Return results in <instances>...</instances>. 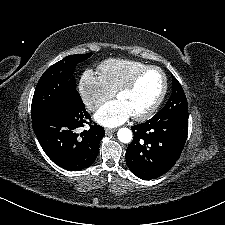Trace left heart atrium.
<instances>
[{"label":"left heart atrium","instance_id":"obj_1","mask_svg":"<svg viewBox=\"0 0 225 225\" xmlns=\"http://www.w3.org/2000/svg\"><path fill=\"white\" fill-rule=\"evenodd\" d=\"M130 117V112L119 100L106 103L95 114L96 121L106 127L123 124Z\"/></svg>","mask_w":225,"mask_h":225}]
</instances>
